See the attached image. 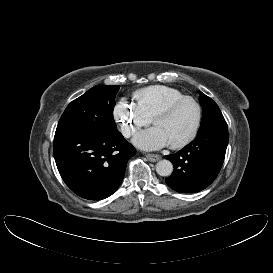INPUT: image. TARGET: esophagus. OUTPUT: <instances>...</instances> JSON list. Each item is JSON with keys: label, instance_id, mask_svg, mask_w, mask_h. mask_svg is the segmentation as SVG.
<instances>
[{"label": "esophagus", "instance_id": "34e87169", "mask_svg": "<svg viewBox=\"0 0 273 273\" xmlns=\"http://www.w3.org/2000/svg\"><path fill=\"white\" fill-rule=\"evenodd\" d=\"M145 157L150 161V162H157L161 159L160 155L157 154H145Z\"/></svg>", "mask_w": 273, "mask_h": 273}]
</instances>
